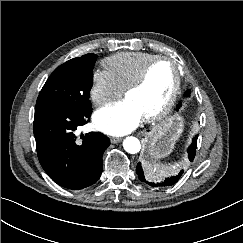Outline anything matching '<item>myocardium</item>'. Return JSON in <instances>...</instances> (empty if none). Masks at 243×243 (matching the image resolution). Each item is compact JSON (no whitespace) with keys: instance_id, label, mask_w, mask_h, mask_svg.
<instances>
[{"instance_id":"obj_1","label":"myocardium","mask_w":243,"mask_h":243,"mask_svg":"<svg viewBox=\"0 0 243 243\" xmlns=\"http://www.w3.org/2000/svg\"><path fill=\"white\" fill-rule=\"evenodd\" d=\"M161 61H169L174 65L175 68V82L174 86L167 97V99L162 103L160 107H158L155 111L151 112L150 114L145 116V119L148 121L158 119L162 115H164L168 109L172 106L174 103L181 87V72H180V66L178 62L169 57V56H157L151 61H149L145 67L142 69L140 74L132 81L130 82L124 89V95L126 96L129 92L141 87L144 82L146 81L148 74L151 70V68L158 62Z\"/></svg>"}]
</instances>
